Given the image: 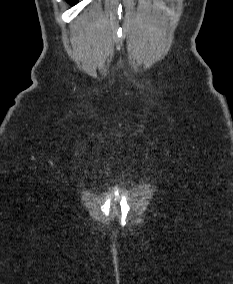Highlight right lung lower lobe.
<instances>
[{
    "instance_id": "obj_1",
    "label": "right lung lower lobe",
    "mask_w": 233,
    "mask_h": 284,
    "mask_svg": "<svg viewBox=\"0 0 233 284\" xmlns=\"http://www.w3.org/2000/svg\"><path fill=\"white\" fill-rule=\"evenodd\" d=\"M68 3L75 4L77 0H67Z\"/></svg>"
}]
</instances>
